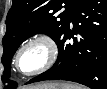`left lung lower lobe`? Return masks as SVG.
<instances>
[{
	"mask_svg": "<svg viewBox=\"0 0 107 89\" xmlns=\"http://www.w3.org/2000/svg\"><path fill=\"white\" fill-rule=\"evenodd\" d=\"M70 22L73 29H70ZM74 35L79 37L67 40ZM59 55L48 71L27 82L68 80L90 87H107V0H81L55 41Z\"/></svg>",
	"mask_w": 107,
	"mask_h": 89,
	"instance_id": "0a47b994",
	"label": "left lung lower lobe"
}]
</instances>
